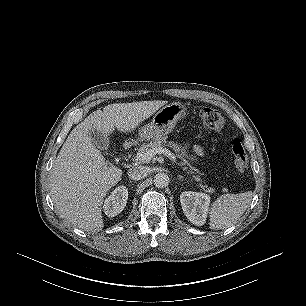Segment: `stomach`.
<instances>
[{"mask_svg":"<svg viewBox=\"0 0 306 306\" xmlns=\"http://www.w3.org/2000/svg\"><path fill=\"white\" fill-rule=\"evenodd\" d=\"M186 116V107L173 102L162 107L153 117L152 121L141 127L139 137L142 140H151L171 133L176 122Z\"/></svg>","mask_w":306,"mask_h":306,"instance_id":"1","label":"stomach"}]
</instances>
